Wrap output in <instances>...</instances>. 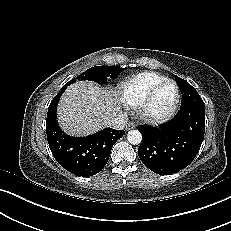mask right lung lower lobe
Masks as SVG:
<instances>
[{"label":"right lung lower lobe","instance_id":"right-lung-lower-lobe-1","mask_svg":"<svg viewBox=\"0 0 231 231\" xmlns=\"http://www.w3.org/2000/svg\"><path fill=\"white\" fill-rule=\"evenodd\" d=\"M65 84L49 105L46 133L51 152L56 161L77 176L88 177L100 172L106 165L116 141L125 135L123 130L106 128L87 137L64 134L56 120V109Z\"/></svg>","mask_w":231,"mask_h":231}]
</instances>
